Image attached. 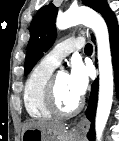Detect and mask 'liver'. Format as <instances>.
Returning a JSON list of instances; mask_svg holds the SVG:
<instances>
[{
  "mask_svg": "<svg viewBox=\"0 0 119 141\" xmlns=\"http://www.w3.org/2000/svg\"><path fill=\"white\" fill-rule=\"evenodd\" d=\"M30 128H37L49 132H57L65 130V125L56 121H26L23 124L22 133Z\"/></svg>",
  "mask_w": 119,
  "mask_h": 141,
  "instance_id": "liver-1",
  "label": "liver"
}]
</instances>
